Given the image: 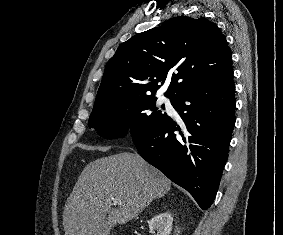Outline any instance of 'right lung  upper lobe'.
Masks as SVG:
<instances>
[{"mask_svg":"<svg viewBox=\"0 0 283 235\" xmlns=\"http://www.w3.org/2000/svg\"><path fill=\"white\" fill-rule=\"evenodd\" d=\"M232 53L208 19L179 16L122 43L108 61L95 105L154 96L171 79L165 96L229 75Z\"/></svg>","mask_w":283,"mask_h":235,"instance_id":"cb5924a9","label":"right lung upper lobe"}]
</instances>
